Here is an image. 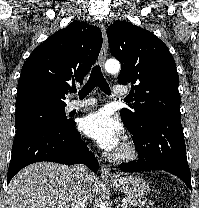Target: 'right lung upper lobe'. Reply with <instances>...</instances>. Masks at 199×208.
Returning <instances> with one entry per match:
<instances>
[{
    "label": "right lung upper lobe",
    "mask_w": 199,
    "mask_h": 208,
    "mask_svg": "<svg viewBox=\"0 0 199 208\" xmlns=\"http://www.w3.org/2000/svg\"><path fill=\"white\" fill-rule=\"evenodd\" d=\"M102 46L99 28L74 21L36 47L18 81L16 110L29 106L65 107L70 85L83 83Z\"/></svg>",
    "instance_id": "cb5924a9"
}]
</instances>
